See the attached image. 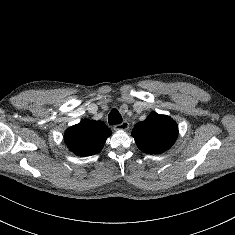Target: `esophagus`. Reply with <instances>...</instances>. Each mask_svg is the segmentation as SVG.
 <instances>
[{
  "label": "esophagus",
  "mask_w": 235,
  "mask_h": 235,
  "mask_svg": "<svg viewBox=\"0 0 235 235\" xmlns=\"http://www.w3.org/2000/svg\"><path fill=\"white\" fill-rule=\"evenodd\" d=\"M128 128H129V123L127 121H123L122 123L114 126V130L116 131L127 130Z\"/></svg>",
  "instance_id": "obj_1"
}]
</instances>
